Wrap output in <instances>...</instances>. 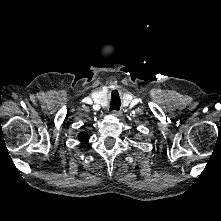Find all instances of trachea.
Instances as JSON below:
<instances>
[{
	"label": "trachea",
	"instance_id": "1",
	"mask_svg": "<svg viewBox=\"0 0 221 221\" xmlns=\"http://www.w3.org/2000/svg\"><path fill=\"white\" fill-rule=\"evenodd\" d=\"M121 106V100L119 94L116 90L112 91L111 101H110V111L119 110Z\"/></svg>",
	"mask_w": 221,
	"mask_h": 221
}]
</instances>
